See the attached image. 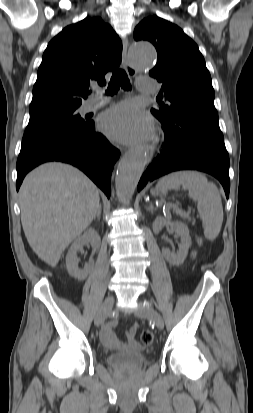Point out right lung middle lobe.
<instances>
[{"label":"right lung middle lobe","instance_id":"1","mask_svg":"<svg viewBox=\"0 0 253 413\" xmlns=\"http://www.w3.org/2000/svg\"><path fill=\"white\" fill-rule=\"evenodd\" d=\"M77 107L56 108L30 113L22 144L62 133L75 132L88 126L77 113Z\"/></svg>","mask_w":253,"mask_h":413}]
</instances>
